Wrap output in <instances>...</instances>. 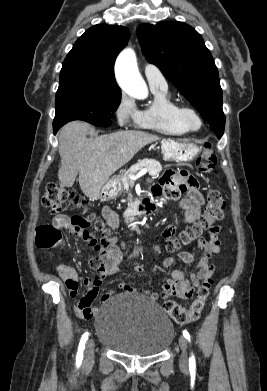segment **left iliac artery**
<instances>
[{
	"mask_svg": "<svg viewBox=\"0 0 267 391\" xmlns=\"http://www.w3.org/2000/svg\"><path fill=\"white\" fill-rule=\"evenodd\" d=\"M183 335H184V337H185L187 340L190 341V335H189V333H188L186 330L183 331ZM189 369H190L192 372L195 371V358H194L193 355H192V356L190 357V359H189Z\"/></svg>",
	"mask_w": 267,
	"mask_h": 391,
	"instance_id": "obj_1",
	"label": "left iliac artery"
}]
</instances>
